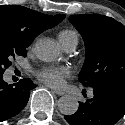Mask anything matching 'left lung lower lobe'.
I'll return each mask as SVG.
<instances>
[{
  "label": "left lung lower lobe",
  "instance_id": "0a47b994",
  "mask_svg": "<svg viewBox=\"0 0 125 125\" xmlns=\"http://www.w3.org/2000/svg\"><path fill=\"white\" fill-rule=\"evenodd\" d=\"M94 97L73 115L64 118L70 125H114L125 115V84L104 83L93 87Z\"/></svg>",
  "mask_w": 125,
  "mask_h": 125
}]
</instances>
